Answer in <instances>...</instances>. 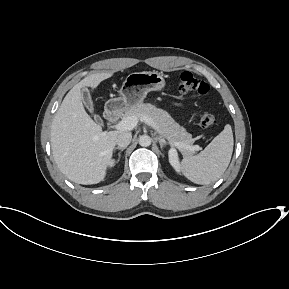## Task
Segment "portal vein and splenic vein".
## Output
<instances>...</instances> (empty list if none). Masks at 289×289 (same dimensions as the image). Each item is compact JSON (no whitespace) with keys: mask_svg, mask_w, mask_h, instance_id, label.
<instances>
[{"mask_svg":"<svg viewBox=\"0 0 289 289\" xmlns=\"http://www.w3.org/2000/svg\"><path fill=\"white\" fill-rule=\"evenodd\" d=\"M141 121L146 123L147 125H149L150 127H152L153 129H155L156 131L159 132L158 126L151 118L145 116L141 119ZM137 123H138L137 117L129 116V117L123 118L119 123H117L113 127L117 130L127 131V130L134 129L136 127ZM176 146H178L179 148L190 150L193 153H195L196 151L201 149V147L198 145H185L182 143H176Z\"/></svg>","mask_w":289,"mask_h":289,"instance_id":"obj_1","label":"portal vein and splenic vein"}]
</instances>
